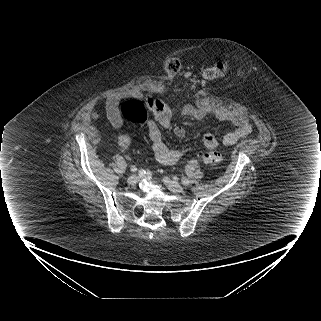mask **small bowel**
I'll return each instance as SVG.
<instances>
[{
    "label": "small bowel",
    "instance_id": "1",
    "mask_svg": "<svg viewBox=\"0 0 321 321\" xmlns=\"http://www.w3.org/2000/svg\"><path fill=\"white\" fill-rule=\"evenodd\" d=\"M124 96L115 94L106 101V111L111 124L114 127H121L123 119L119 113V102ZM147 109L151 118L146 124V131L152 144V150L156 160L163 165H172L176 163L184 154L183 150L170 149L162 139L161 129L171 126L175 110L160 99H150L147 102ZM178 114L184 117L201 120L207 116L209 109L203 106L186 105L181 107ZM215 116L222 122H228L234 125V129L225 133L221 139L212 133H206L203 136V143L207 148H217L220 143L229 146L235 144L240 139L248 136L252 131V125L248 119L237 111L219 109ZM173 133L177 138H183L186 134L182 126H175ZM133 144L132 138L128 134H122L119 137V146L123 149L129 148Z\"/></svg>",
    "mask_w": 321,
    "mask_h": 321
}]
</instances>
